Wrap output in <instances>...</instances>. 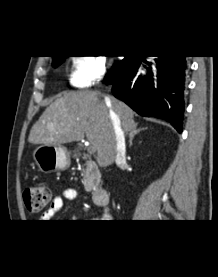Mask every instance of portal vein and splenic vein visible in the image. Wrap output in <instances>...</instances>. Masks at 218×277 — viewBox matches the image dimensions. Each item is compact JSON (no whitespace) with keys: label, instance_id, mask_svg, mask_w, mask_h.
Here are the masks:
<instances>
[{"label":"portal vein and splenic vein","instance_id":"18ae733b","mask_svg":"<svg viewBox=\"0 0 218 277\" xmlns=\"http://www.w3.org/2000/svg\"><path fill=\"white\" fill-rule=\"evenodd\" d=\"M87 145H89V144H87ZM87 152H88L89 154H93V153L95 152L94 147H93V146H88Z\"/></svg>","mask_w":218,"mask_h":277}]
</instances>
